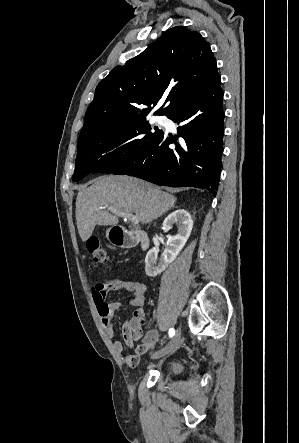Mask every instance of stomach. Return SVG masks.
Returning a JSON list of instances; mask_svg holds the SVG:
<instances>
[{
    "label": "stomach",
    "instance_id": "stomach-1",
    "mask_svg": "<svg viewBox=\"0 0 299 443\" xmlns=\"http://www.w3.org/2000/svg\"><path fill=\"white\" fill-rule=\"evenodd\" d=\"M109 232H110V231L108 230L107 233H106L107 238H109Z\"/></svg>",
    "mask_w": 299,
    "mask_h": 443
}]
</instances>
